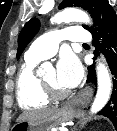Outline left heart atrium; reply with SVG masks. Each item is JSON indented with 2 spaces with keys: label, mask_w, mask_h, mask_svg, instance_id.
<instances>
[{
  "label": "left heart atrium",
  "mask_w": 117,
  "mask_h": 131,
  "mask_svg": "<svg viewBox=\"0 0 117 131\" xmlns=\"http://www.w3.org/2000/svg\"><path fill=\"white\" fill-rule=\"evenodd\" d=\"M56 71L57 81L65 89L76 87L83 76L82 65L72 53H65L61 56Z\"/></svg>",
  "instance_id": "1"
}]
</instances>
